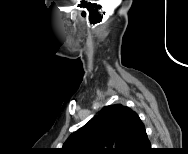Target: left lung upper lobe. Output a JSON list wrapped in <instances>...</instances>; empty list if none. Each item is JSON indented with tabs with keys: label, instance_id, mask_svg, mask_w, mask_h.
<instances>
[{
	"label": "left lung upper lobe",
	"instance_id": "5c2ea615",
	"mask_svg": "<svg viewBox=\"0 0 188 154\" xmlns=\"http://www.w3.org/2000/svg\"><path fill=\"white\" fill-rule=\"evenodd\" d=\"M135 113L121 104L105 106L70 135L62 150L67 154H125Z\"/></svg>",
	"mask_w": 188,
	"mask_h": 154
}]
</instances>
